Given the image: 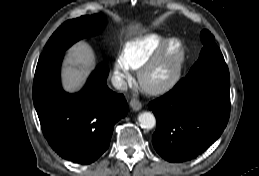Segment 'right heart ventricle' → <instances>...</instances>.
I'll use <instances>...</instances> for the list:
<instances>
[{
  "label": "right heart ventricle",
  "instance_id": "e07e8e85",
  "mask_svg": "<svg viewBox=\"0 0 259 176\" xmlns=\"http://www.w3.org/2000/svg\"><path fill=\"white\" fill-rule=\"evenodd\" d=\"M166 39L164 34L149 32L129 40L121 54L124 63L130 69L139 70Z\"/></svg>",
  "mask_w": 259,
  "mask_h": 176
}]
</instances>
